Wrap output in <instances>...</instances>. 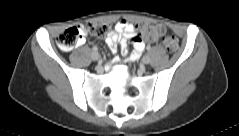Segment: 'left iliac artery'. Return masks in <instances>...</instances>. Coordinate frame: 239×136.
<instances>
[{"instance_id": "44dca946", "label": "left iliac artery", "mask_w": 239, "mask_h": 136, "mask_svg": "<svg viewBox=\"0 0 239 136\" xmlns=\"http://www.w3.org/2000/svg\"><path fill=\"white\" fill-rule=\"evenodd\" d=\"M146 50H150V46H146Z\"/></svg>"}]
</instances>
